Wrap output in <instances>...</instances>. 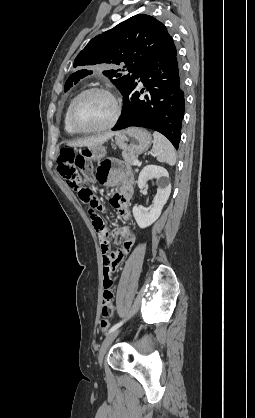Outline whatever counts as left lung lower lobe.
I'll return each instance as SVG.
<instances>
[{"label": "left lung lower lobe", "mask_w": 255, "mask_h": 418, "mask_svg": "<svg viewBox=\"0 0 255 418\" xmlns=\"http://www.w3.org/2000/svg\"><path fill=\"white\" fill-rule=\"evenodd\" d=\"M139 79L148 92L145 97H141L143 91L135 89ZM183 88L182 67L171 39L161 51L151 55L132 74L122 93L123 112L112 130L130 126L153 129L166 136L178 148L185 109Z\"/></svg>", "instance_id": "1"}]
</instances>
